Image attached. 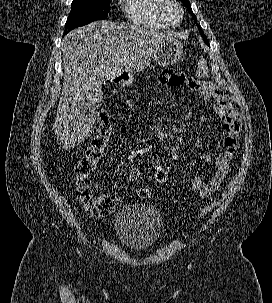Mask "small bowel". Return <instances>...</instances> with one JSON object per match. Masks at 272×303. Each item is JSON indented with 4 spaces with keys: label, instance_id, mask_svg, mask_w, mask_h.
Returning a JSON list of instances; mask_svg holds the SVG:
<instances>
[{
    "label": "small bowel",
    "instance_id": "small-bowel-1",
    "mask_svg": "<svg viewBox=\"0 0 272 303\" xmlns=\"http://www.w3.org/2000/svg\"><path fill=\"white\" fill-rule=\"evenodd\" d=\"M160 82L168 87L180 86L184 83L194 91H197L200 98L203 100H214V111L222 119V131L224 134L223 149L216 157V168L212 179L206 182L202 177L194 175L191 178V183L199 192L202 198H207L213 192L218 190L229 169V163L232 159L240 138L241 120L239 114L234 109L231 99L223 94L221 89L212 82L186 78L183 74L174 73L170 70H165L160 74ZM194 147L198 151L204 149V143L198 139L194 142ZM202 159L205 162L212 161V156L208 153H202ZM140 177L139 169H132L129 172L131 181H136Z\"/></svg>",
    "mask_w": 272,
    "mask_h": 303
}]
</instances>
